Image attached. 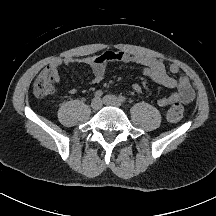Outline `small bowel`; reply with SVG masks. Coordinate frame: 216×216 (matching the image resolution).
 <instances>
[{
	"mask_svg": "<svg viewBox=\"0 0 216 216\" xmlns=\"http://www.w3.org/2000/svg\"><path fill=\"white\" fill-rule=\"evenodd\" d=\"M112 62L137 64L142 67L144 76L162 86L176 88V92L160 97L157 100V105L160 107H167L175 103L188 104L194 99V90L185 75H180L177 78L169 75V72L172 74L180 72V67L176 63L166 65L162 60L145 54H130L123 51L109 50L98 55L83 58L66 57L53 60L44 71L51 72L54 76V81L58 83L60 81L59 70L61 67H75L82 64L91 70V83L95 84L104 79L107 66ZM132 89L136 93L142 92V87L138 83L133 84ZM68 93L75 94L76 89L70 88Z\"/></svg>",
	"mask_w": 216,
	"mask_h": 216,
	"instance_id": "obj_1",
	"label": "small bowel"
}]
</instances>
